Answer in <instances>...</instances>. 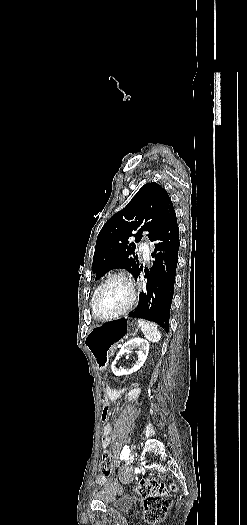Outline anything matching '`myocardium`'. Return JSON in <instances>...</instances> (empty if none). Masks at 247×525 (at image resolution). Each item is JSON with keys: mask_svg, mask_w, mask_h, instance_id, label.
<instances>
[{"mask_svg": "<svg viewBox=\"0 0 247 525\" xmlns=\"http://www.w3.org/2000/svg\"><path fill=\"white\" fill-rule=\"evenodd\" d=\"M112 279H123V280L128 281V283L130 285V290H131L130 297L122 306H120V307H118V308H116L114 310H111V311H102L96 305L97 295H98V292L101 289V287L106 282H108V281H110ZM135 285H136V283H135L134 277L130 273L123 272V271H116V272L111 273L105 279L100 281L98 283V285L96 286L95 290H94V293H93L92 298H91V308H92L93 313L97 317H113V316H118V315H122V314L126 313L132 307V305L134 304V301H135Z\"/></svg>", "mask_w": 247, "mask_h": 525, "instance_id": "f54148a6", "label": "myocardium"}]
</instances>
